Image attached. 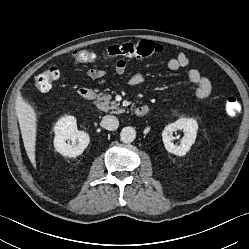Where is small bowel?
Returning <instances> with one entry per match:
<instances>
[{
	"label": "small bowel",
	"mask_w": 249,
	"mask_h": 249,
	"mask_svg": "<svg viewBox=\"0 0 249 249\" xmlns=\"http://www.w3.org/2000/svg\"><path fill=\"white\" fill-rule=\"evenodd\" d=\"M189 63V58L184 53H179L175 58L168 60V62L166 63V67L170 71H177L181 68L187 67ZM126 67V61L119 60L116 63L115 70L117 74L122 75L125 73ZM104 74L105 71L101 68H91L86 71V76L92 80L99 79L103 77ZM188 79L190 83L194 86L195 96L198 99H205L210 95L212 89L211 82L208 78L204 77L197 69L192 68L188 71ZM129 81L132 85H137L141 83L142 74L140 72L134 73Z\"/></svg>",
	"instance_id": "1"
}]
</instances>
